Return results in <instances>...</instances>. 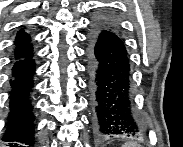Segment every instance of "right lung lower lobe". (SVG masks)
<instances>
[{
    "label": "right lung lower lobe",
    "instance_id": "1",
    "mask_svg": "<svg viewBox=\"0 0 183 147\" xmlns=\"http://www.w3.org/2000/svg\"><path fill=\"white\" fill-rule=\"evenodd\" d=\"M32 54L16 59L11 68L9 117L6 132L2 138L5 142H17L33 145L34 116L29 95L33 87L35 63ZM13 146H17L15 143Z\"/></svg>",
    "mask_w": 183,
    "mask_h": 147
}]
</instances>
